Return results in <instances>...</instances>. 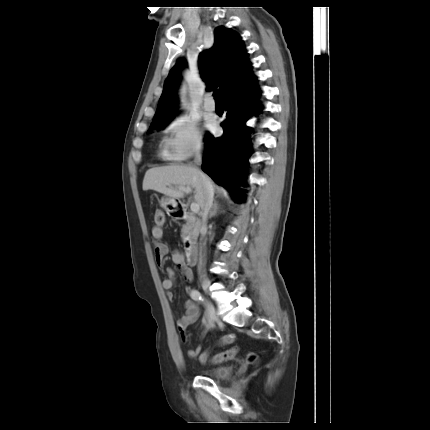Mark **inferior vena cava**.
<instances>
[{
	"instance_id": "602c4592",
	"label": "inferior vena cava",
	"mask_w": 430,
	"mask_h": 430,
	"mask_svg": "<svg viewBox=\"0 0 430 430\" xmlns=\"http://www.w3.org/2000/svg\"><path fill=\"white\" fill-rule=\"evenodd\" d=\"M202 156L200 151H198L195 155V162L197 164L201 163ZM202 183H203V197L201 202L202 209V224H201V232H205L207 230V215L212 208L213 205V197H214V188L210 178L206 175L201 174ZM202 258H200V266L202 265Z\"/></svg>"
}]
</instances>
